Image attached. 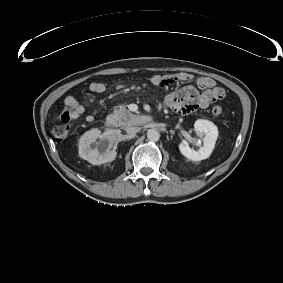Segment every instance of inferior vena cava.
<instances>
[{
    "instance_id": "obj_1",
    "label": "inferior vena cava",
    "mask_w": 283,
    "mask_h": 283,
    "mask_svg": "<svg viewBox=\"0 0 283 283\" xmlns=\"http://www.w3.org/2000/svg\"><path fill=\"white\" fill-rule=\"evenodd\" d=\"M126 132L129 133V134H135L137 132L140 131V127H137V126H128L126 127Z\"/></svg>"
}]
</instances>
